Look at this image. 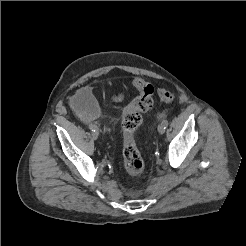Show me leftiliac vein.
Returning <instances> with one entry per match:
<instances>
[{"instance_id": "1", "label": "left iliac vein", "mask_w": 246, "mask_h": 246, "mask_svg": "<svg viewBox=\"0 0 246 246\" xmlns=\"http://www.w3.org/2000/svg\"><path fill=\"white\" fill-rule=\"evenodd\" d=\"M158 132H159L160 134H164L165 128H164V126H163L162 124L158 125Z\"/></svg>"}]
</instances>
